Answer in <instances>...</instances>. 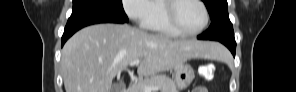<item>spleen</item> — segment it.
<instances>
[{"mask_svg":"<svg viewBox=\"0 0 296 92\" xmlns=\"http://www.w3.org/2000/svg\"><path fill=\"white\" fill-rule=\"evenodd\" d=\"M224 52H225V49L223 48V51H220L218 53V55L216 56V58H226V57H228L227 55L224 54Z\"/></svg>","mask_w":296,"mask_h":92,"instance_id":"spleen-1","label":"spleen"}]
</instances>
